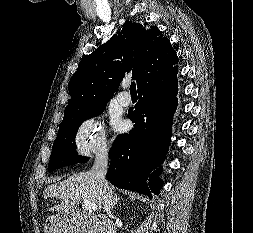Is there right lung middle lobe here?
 I'll use <instances>...</instances> for the list:
<instances>
[{
  "mask_svg": "<svg viewBox=\"0 0 253 233\" xmlns=\"http://www.w3.org/2000/svg\"><path fill=\"white\" fill-rule=\"evenodd\" d=\"M107 102L94 105L84 111L63 119L59 125L58 135L54 141L49 161V172L60 167L80 163L88 160L87 157L78 155L74 139L81 123L89 118L100 115Z\"/></svg>",
  "mask_w": 253,
  "mask_h": 233,
  "instance_id": "dd1d6c3e",
  "label": "right lung middle lobe"
}]
</instances>
